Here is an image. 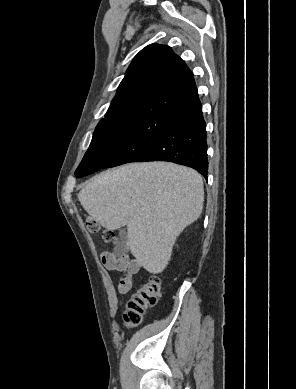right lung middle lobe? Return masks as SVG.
<instances>
[{
  "mask_svg": "<svg viewBox=\"0 0 296 389\" xmlns=\"http://www.w3.org/2000/svg\"><path fill=\"white\" fill-rule=\"evenodd\" d=\"M176 119L156 113L102 119L79 167L96 171L139 162Z\"/></svg>",
  "mask_w": 296,
  "mask_h": 389,
  "instance_id": "1",
  "label": "right lung middle lobe"
}]
</instances>
